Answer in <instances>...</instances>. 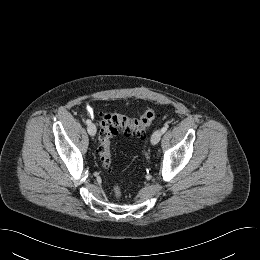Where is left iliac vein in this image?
Returning <instances> with one entry per match:
<instances>
[{"label": "left iliac vein", "instance_id": "1", "mask_svg": "<svg viewBox=\"0 0 260 260\" xmlns=\"http://www.w3.org/2000/svg\"><path fill=\"white\" fill-rule=\"evenodd\" d=\"M162 134L161 130H156L151 137V143L156 145L160 141Z\"/></svg>", "mask_w": 260, "mask_h": 260}]
</instances>
